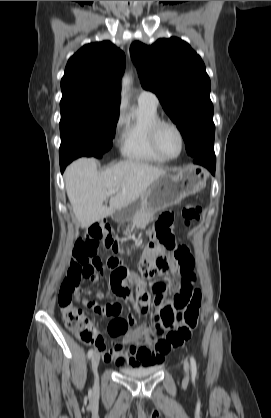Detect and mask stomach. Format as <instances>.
I'll list each match as a JSON object with an SVG mask.
<instances>
[{
	"instance_id": "stomach-1",
	"label": "stomach",
	"mask_w": 271,
	"mask_h": 418,
	"mask_svg": "<svg viewBox=\"0 0 271 418\" xmlns=\"http://www.w3.org/2000/svg\"><path fill=\"white\" fill-rule=\"evenodd\" d=\"M208 176L206 169L191 164L175 174L166 173L156 179L139 199L117 211L113 219L122 222L142 208L155 212L176 205L182 199L200 192Z\"/></svg>"
}]
</instances>
